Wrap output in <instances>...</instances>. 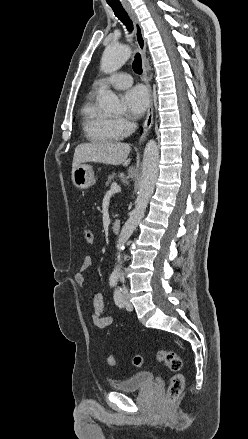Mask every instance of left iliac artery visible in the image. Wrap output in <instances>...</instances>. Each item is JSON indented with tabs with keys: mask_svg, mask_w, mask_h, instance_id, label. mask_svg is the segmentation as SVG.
<instances>
[{
	"mask_svg": "<svg viewBox=\"0 0 248 439\" xmlns=\"http://www.w3.org/2000/svg\"><path fill=\"white\" fill-rule=\"evenodd\" d=\"M114 300L115 303L119 306V307H123V300H122V295H121V288H118L115 290L114 293Z\"/></svg>",
	"mask_w": 248,
	"mask_h": 439,
	"instance_id": "obj_1",
	"label": "left iliac artery"
}]
</instances>
